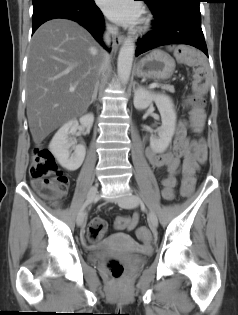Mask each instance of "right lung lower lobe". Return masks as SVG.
Returning a JSON list of instances; mask_svg holds the SVG:
<instances>
[{"mask_svg": "<svg viewBox=\"0 0 238 315\" xmlns=\"http://www.w3.org/2000/svg\"><path fill=\"white\" fill-rule=\"evenodd\" d=\"M32 34L44 22L54 18H65L78 22L104 47L101 36L104 19L94 0H32Z\"/></svg>", "mask_w": 238, "mask_h": 315, "instance_id": "1", "label": "right lung lower lobe"}]
</instances>
